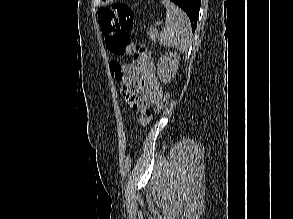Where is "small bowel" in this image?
<instances>
[{
    "label": "small bowel",
    "mask_w": 293,
    "mask_h": 219,
    "mask_svg": "<svg viewBox=\"0 0 293 219\" xmlns=\"http://www.w3.org/2000/svg\"><path fill=\"white\" fill-rule=\"evenodd\" d=\"M121 81V94L125 102L141 113L139 122L146 125L151 118L150 107L162 98V88L156 77L155 66L148 61L136 71H127Z\"/></svg>",
    "instance_id": "c3829d8e"
}]
</instances>
